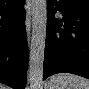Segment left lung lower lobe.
Wrapping results in <instances>:
<instances>
[{
    "instance_id": "0a47b994",
    "label": "left lung lower lobe",
    "mask_w": 89,
    "mask_h": 89,
    "mask_svg": "<svg viewBox=\"0 0 89 89\" xmlns=\"http://www.w3.org/2000/svg\"><path fill=\"white\" fill-rule=\"evenodd\" d=\"M56 73L89 78V0H47L43 80Z\"/></svg>"
}]
</instances>
